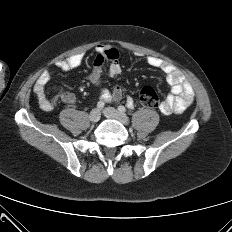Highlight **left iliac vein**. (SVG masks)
<instances>
[{"instance_id":"obj_1","label":"left iliac vein","mask_w":232,"mask_h":232,"mask_svg":"<svg viewBox=\"0 0 232 232\" xmlns=\"http://www.w3.org/2000/svg\"><path fill=\"white\" fill-rule=\"evenodd\" d=\"M103 114L110 119H115L121 122L124 125L129 123V118L123 112H120L112 107H107L103 110Z\"/></svg>"}]
</instances>
